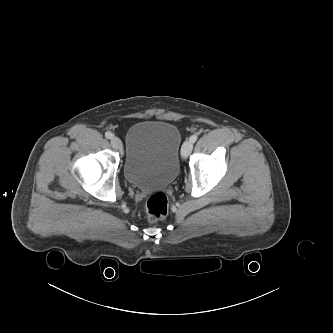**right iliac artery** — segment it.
Here are the masks:
<instances>
[{
    "instance_id": "right-iliac-artery-1",
    "label": "right iliac artery",
    "mask_w": 333,
    "mask_h": 333,
    "mask_svg": "<svg viewBox=\"0 0 333 333\" xmlns=\"http://www.w3.org/2000/svg\"><path fill=\"white\" fill-rule=\"evenodd\" d=\"M105 137L108 139H112L113 138V134L111 132H106L105 133Z\"/></svg>"
}]
</instances>
